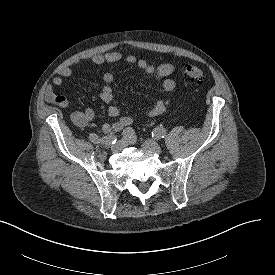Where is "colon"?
Segmentation results:
<instances>
[{"label": "colon", "mask_w": 275, "mask_h": 275, "mask_svg": "<svg viewBox=\"0 0 275 275\" xmlns=\"http://www.w3.org/2000/svg\"><path fill=\"white\" fill-rule=\"evenodd\" d=\"M181 72L184 77L198 85L204 84L208 79L206 72L193 64L183 66Z\"/></svg>", "instance_id": "colon-1"}]
</instances>
